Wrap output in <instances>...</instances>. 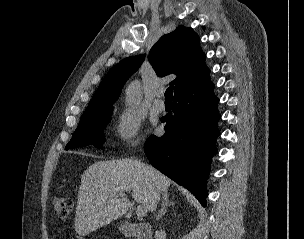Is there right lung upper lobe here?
<instances>
[{
  "mask_svg": "<svg viewBox=\"0 0 304 239\" xmlns=\"http://www.w3.org/2000/svg\"><path fill=\"white\" fill-rule=\"evenodd\" d=\"M199 42L198 35L191 28L179 26L174 32L162 36L150 51L149 60L158 76L177 75L170 83L175 85V92L209 72ZM143 60L144 55L132 56L114 66L99 85L82 117L111 106Z\"/></svg>",
  "mask_w": 304,
  "mask_h": 239,
  "instance_id": "obj_1",
  "label": "right lung upper lobe"
}]
</instances>
